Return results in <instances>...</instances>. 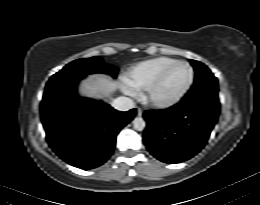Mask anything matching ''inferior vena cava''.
I'll use <instances>...</instances> for the list:
<instances>
[{"instance_id": "602c4592", "label": "inferior vena cava", "mask_w": 260, "mask_h": 205, "mask_svg": "<svg viewBox=\"0 0 260 205\" xmlns=\"http://www.w3.org/2000/svg\"><path fill=\"white\" fill-rule=\"evenodd\" d=\"M111 106L114 109L119 110V111H128V110L134 108L135 104L132 99L121 96V97L114 99L113 102L111 103Z\"/></svg>"}]
</instances>
